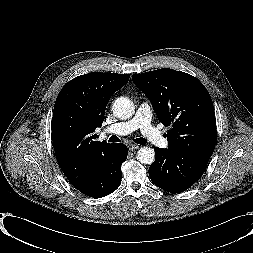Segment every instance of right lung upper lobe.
<instances>
[{
	"mask_svg": "<svg viewBox=\"0 0 253 253\" xmlns=\"http://www.w3.org/2000/svg\"><path fill=\"white\" fill-rule=\"evenodd\" d=\"M130 74L92 72L69 81L54 106L52 139L64 175L75 187L85 184L113 144L99 142L95 129L102 125L111 96Z\"/></svg>",
	"mask_w": 253,
	"mask_h": 253,
	"instance_id": "right-lung-upper-lobe-1",
	"label": "right lung upper lobe"
}]
</instances>
